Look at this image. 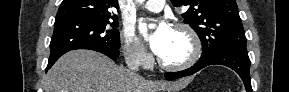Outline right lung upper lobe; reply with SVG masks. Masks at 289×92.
Here are the masks:
<instances>
[{
    "label": "right lung upper lobe",
    "mask_w": 289,
    "mask_h": 92,
    "mask_svg": "<svg viewBox=\"0 0 289 92\" xmlns=\"http://www.w3.org/2000/svg\"><path fill=\"white\" fill-rule=\"evenodd\" d=\"M118 9L117 0H63L55 20L76 17L117 18L109 9Z\"/></svg>",
    "instance_id": "cb5924a9"
}]
</instances>
